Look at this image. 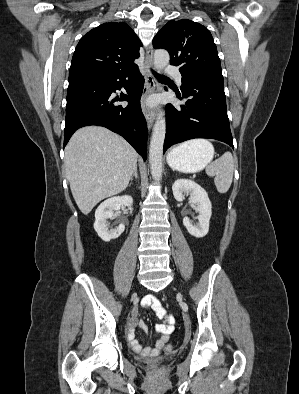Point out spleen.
I'll return each mask as SVG.
<instances>
[{
	"instance_id": "spleen-1",
	"label": "spleen",
	"mask_w": 299,
	"mask_h": 394,
	"mask_svg": "<svg viewBox=\"0 0 299 394\" xmlns=\"http://www.w3.org/2000/svg\"><path fill=\"white\" fill-rule=\"evenodd\" d=\"M187 143L212 146L211 143L204 139L192 140ZM187 143L180 145V147H183ZM206 173L208 176H215L214 183L217 191L220 194L226 193L229 190L233 180L234 159L232 154L230 152H225L221 157L206 167Z\"/></svg>"
}]
</instances>
